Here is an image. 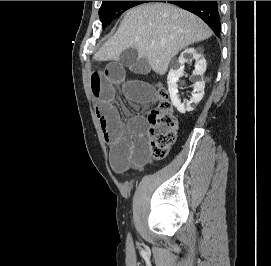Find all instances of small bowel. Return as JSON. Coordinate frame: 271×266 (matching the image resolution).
Masks as SVG:
<instances>
[{
  "label": "small bowel",
  "instance_id": "obj_1",
  "mask_svg": "<svg viewBox=\"0 0 271 266\" xmlns=\"http://www.w3.org/2000/svg\"><path fill=\"white\" fill-rule=\"evenodd\" d=\"M148 69L143 60L130 58L124 62H108L90 77L91 92L96 100V115L104 139L111 146L110 163L116 172H124L129 168L143 169L150 163L145 118L137 116L124 123L116 104L117 88L135 103L142 104L155 99V93L148 83L126 78L127 70L145 74Z\"/></svg>",
  "mask_w": 271,
  "mask_h": 266
}]
</instances>
